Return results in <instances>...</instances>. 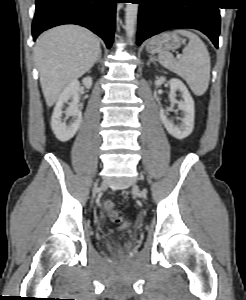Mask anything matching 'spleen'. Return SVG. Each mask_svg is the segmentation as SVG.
Returning a JSON list of instances; mask_svg holds the SVG:
<instances>
[{"label": "spleen", "instance_id": "spleen-1", "mask_svg": "<svg viewBox=\"0 0 246 300\" xmlns=\"http://www.w3.org/2000/svg\"><path fill=\"white\" fill-rule=\"evenodd\" d=\"M176 33L189 38L188 45L183 49L182 57L177 60L170 52L161 51L158 53L159 63L179 75L195 95L201 96L207 91L210 81L209 52L195 33L188 30H177Z\"/></svg>", "mask_w": 246, "mask_h": 300}]
</instances>
